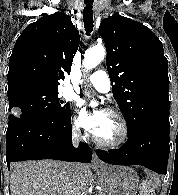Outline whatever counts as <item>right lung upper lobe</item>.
Masks as SVG:
<instances>
[{
    "instance_id": "obj_1",
    "label": "right lung upper lobe",
    "mask_w": 178,
    "mask_h": 195,
    "mask_svg": "<svg viewBox=\"0 0 178 195\" xmlns=\"http://www.w3.org/2000/svg\"><path fill=\"white\" fill-rule=\"evenodd\" d=\"M80 43L78 30L63 11L31 23L10 56L8 96L29 89L58 90L70 73Z\"/></svg>"
}]
</instances>
